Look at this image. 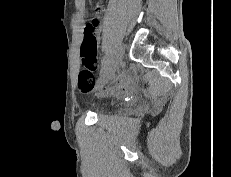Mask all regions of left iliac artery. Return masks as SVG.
<instances>
[{
  "label": "left iliac artery",
  "mask_w": 231,
  "mask_h": 177,
  "mask_svg": "<svg viewBox=\"0 0 231 177\" xmlns=\"http://www.w3.org/2000/svg\"><path fill=\"white\" fill-rule=\"evenodd\" d=\"M110 63H111V56L109 53H106L104 56V62H101V72L107 71L108 67H110Z\"/></svg>",
  "instance_id": "obj_1"
}]
</instances>
